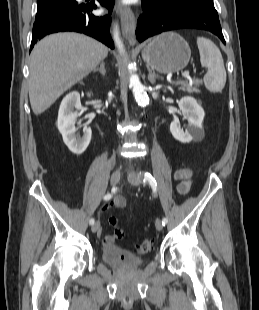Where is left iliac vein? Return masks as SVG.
<instances>
[{
  "instance_id": "4c4485c4",
  "label": "left iliac vein",
  "mask_w": 259,
  "mask_h": 310,
  "mask_svg": "<svg viewBox=\"0 0 259 310\" xmlns=\"http://www.w3.org/2000/svg\"><path fill=\"white\" fill-rule=\"evenodd\" d=\"M142 177L140 174H137L134 171H130L128 173V181L133 185V186H138L141 182ZM155 227L158 231H161L163 229V225L160 219H156L155 221Z\"/></svg>"
}]
</instances>
